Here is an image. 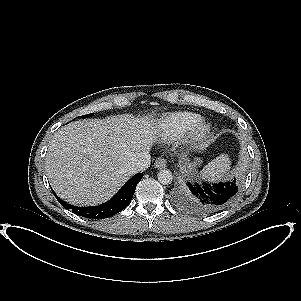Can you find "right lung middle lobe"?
<instances>
[{
    "label": "right lung middle lobe",
    "mask_w": 301,
    "mask_h": 301,
    "mask_svg": "<svg viewBox=\"0 0 301 301\" xmlns=\"http://www.w3.org/2000/svg\"><path fill=\"white\" fill-rule=\"evenodd\" d=\"M92 114H88V115H84V116H81L82 118H86L88 116H91Z\"/></svg>",
    "instance_id": "dd1d6c3e"
}]
</instances>
